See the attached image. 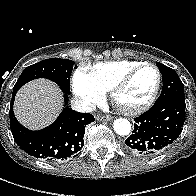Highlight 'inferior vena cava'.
<instances>
[{"label": "inferior vena cava", "mask_w": 196, "mask_h": 196, "mask_svg": "<svg viewBox=\"0 0 196 196\" xmlns=\"http://www.w3.org/2000/svg\"><path fill=\"white\" fill-rule=\"evenodd\" d=\"M71 107L75 111L86 113L92 112L96 109V106L92 102L80 97H74L71 100Z\"/></svg>", "instance_id": "1"}]
</instances>
